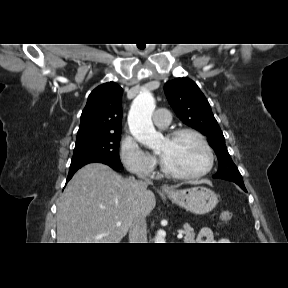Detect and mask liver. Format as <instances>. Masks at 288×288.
<instances>
[{"mask_svg":"<svg viewBox=\"0 0 288 288\" xmlns=\"http://www.w3.org/2000/svg\"><path fill=\"white\" fill-rule=\"evenodd\" d=\"M155 205L147 184L107 165L88 164L74 174L57 205V243H119Z\"/></svg>","mask_w":288,"mask_h":288,"instance_id":"liver-1","label":"liver"}]
</instances>
